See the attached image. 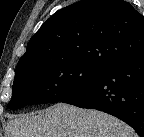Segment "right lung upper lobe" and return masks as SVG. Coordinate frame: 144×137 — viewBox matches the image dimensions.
Masks as SVG:
<instances>
[{"label":"right lung upper lobe","instance_id":"obj_1","mask_svg":"<svg viewBox=\"0 0 144 137\" xmlns=\"http://www.w3.org/2000/svg\"><path fill=\"white\" fill-rule=\"evenodd\" d=\"M144 50V17L123 0H82L50 17L17 67L79 60L105 69Z\"/></svg>","mask_w":144,"mask_h":137}]
</instances>
